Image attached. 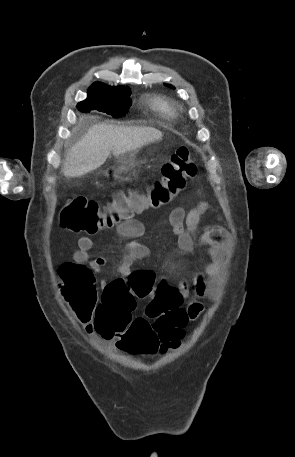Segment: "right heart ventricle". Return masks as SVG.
I'll use <instances>...</instances> for the list:
<instances>
[{
  "label": "right heart ventricle",
  "mask_w": 295,
  "mask_h": 457,
  "mask_svg": "<svg viewBox=\"0 0 295 457\" xmlns=\"http://www.w3.org/2000/svg\"><path fill=\"white\" fill-rule=\"evenodd\" d=\"M151 107L166 117H173L176 112L172 103L162 97L152 98Z\"/></svg>",
  "instance_id": "e07e8e85"
}]
</instances>
